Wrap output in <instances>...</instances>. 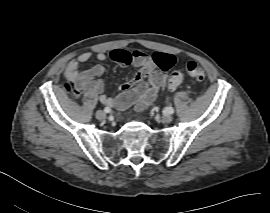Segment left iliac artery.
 Returning <instances> with one entry per match:
<instances>
[{"instance_id":"1","label":"left iliac artery","mask_w":270,"mask_h":213,"mask_svg":"<svg viewBox=\"0 0 270 213\" xmlns=\"http://www.w3.org/2000/svg\"><path fill=\"white\" fill-rule=\"evenodd\" d=\"M166 112L169 114H173L174 113V109L172 107H167L166 108Z\"/></svg>"}]
</instances>
